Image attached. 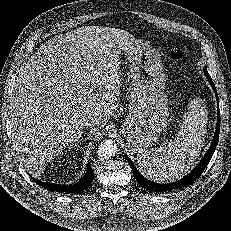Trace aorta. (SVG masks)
I'll return each mask as SVG.
<instances>
[{
  "instance_id": "762f6f07",
  "label": "aorta",
  "mask_w": 231,
  "mask_h": 231,
  "mask_svg": "<svg viewBox=\"0 0 231 231\" xmlns=\"http://www.w3.org/2000/svg\"><path fill=\"white\" fill-rule=\"evenodd\" d=\"M116 152H117V144L115 143V141L108 139L102 141L99 144L97 155L101 160H108L113 156H115Z\"/></svg>"
}]
</instances>
